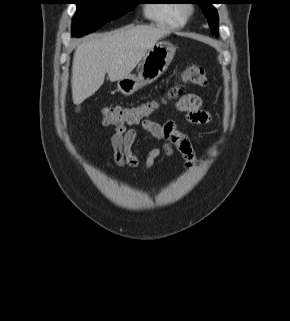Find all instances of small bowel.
I'll list each match as a JSON object with an SVG mask.
<instances>
[{"label": "small bowel", "mask_w": 290, "mask_h": 321, "mask_svg": "<svg viewBox=\"0 0 290 321\" xmlns=\"http://www.w3.org/2000/svg\"><path fill=\"white\" fill-rule=\"evenodd\" d=\"M174 107L176 110L184 113L189 123L196 125H207L211 122L210 113L204 108L201 98L194 94H180ZM141 126L144 131L163 141L161 147L150 150L146 160V168H151L155 159L162 153L172 155L177 150L189 168L192 166L196 153L190 138L179 131L172 120L164 123H158L154 120L145 119ZM138 133L136 129H127L125 126H115L111 136L112 146V165L128 166L135 168L139 164L133 146L137 140Z\"/></svg>", "instance_id": "small-bowel-1"}]
</instances>
